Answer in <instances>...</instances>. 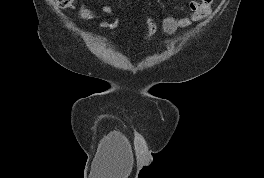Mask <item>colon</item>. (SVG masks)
Segmentation results:
<instances>
[{
	"mask_svg": "<svg viewBox=\"0 0 264 178\" xmlns=\"http://www.w3.org/2000/svg\"><path fill=\"white\" fill-rule=\"evenodd\" d=\"M75 0H55L56 4L62 9H70L73 7ZM119 19L105 20L101 26L104 30L112 31L119 27ZM159 21L154 16H150L145 21V38L149 39L158 29Z\"/></svg>",
	"mask_w": 264,
	"mask_h": 178,
	"instance_id": "obj_1",
	"label": "colon"
}]
</instances>
